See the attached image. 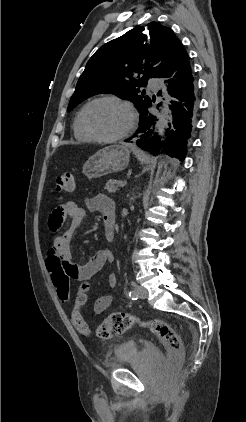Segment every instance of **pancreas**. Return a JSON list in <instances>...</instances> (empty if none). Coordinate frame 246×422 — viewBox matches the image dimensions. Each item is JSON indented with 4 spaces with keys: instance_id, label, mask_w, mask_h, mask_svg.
<instances>
[{
    "instance_id": "obj_1",
    "label": "pancreas",
    "mask_w": 246,
    "mask_h": 422,
    "mask_svg": "<svg viewBox=\"0 0 246 422\" xmlns=\"http://www.w3.org/2000/svg\"><path fill=\"white\" fill-rule=\"evenodd\" d=\"M115 184H119V181L114 180V179H110L107 181L104 189L107 190L108 192H115L117 190V188L114 186Z\"/></svg>"
}]
</instances>
